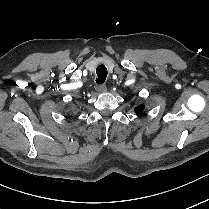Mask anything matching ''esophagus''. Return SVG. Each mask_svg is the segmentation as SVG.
<instances>
[{"instance_id": "obj_1", "label": "esophagus", "mask_w": 209, "mask_h": 209, "mask_svg": "<svg viewBox=\"0 0 209 209\" xmlns=\"http://www.w3.org/2000/svg\"><path fill=\"white\" fill-rule=\"evenodd\" d=\"M106 89H107L106 84H101L96 86V90L99 93L106 91Z\"/></svg>"}]
</instances>
